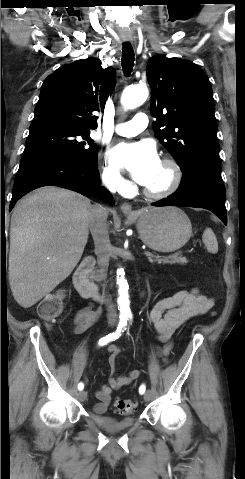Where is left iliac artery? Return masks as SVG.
Segmentation results:
<instances>
[{
    "instance_id": "44dca946",
    "label": "left iliac artery",
    "mask_w": 245,
    "mask_h": 479,
    "mask_svg": "<svg viewBox=\"0 0 245 479\" xmlns=\"http://www.w3.org/2000/svg\"><path fill=\"white\" fill-rule=\"evenodd\" d=\"M130 319H132V315L129 316ZM146 390V387L144 384H142L140 387H139V393L140 394H143Z\"/></svg>"
}]
</instances>
